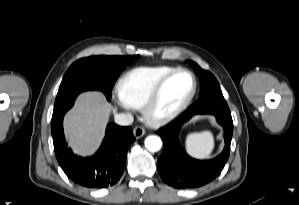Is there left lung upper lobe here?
I'll list each match as a JSON object with an SVG mask.
<instances>
[{"label": "left lung upper lobe", "instance_id": "left-lung-upper-lobe-1", "mask_svg": "<svg viewBox=\"0 0 299 205\" xmlns=\"http://www.w3.org/2000/svg\"><path fill=\"white\" fill-rule=\"evenodd\" d=\"M195 69L202 83L200 98L192 105L199 109L212 105L227 104L216 78L208 71L201 69L195 62L188 61Z\"/></svg>", "mask_w": 299, "mask_h": 205}]
</instances>
